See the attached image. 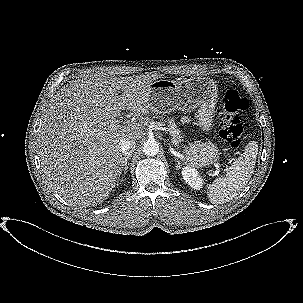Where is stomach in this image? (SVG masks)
<instances>
[{
  "mask_svg": "<svg viewBox=\"0 0 303 303\" xmlns=\"http://www.w3.org/2000/svg\"><path fill=\"white\" fill-rule=\"evenodd\" d=\"M217 99L215 82L208 77L157 79L149 84L148 104L153 112L170 113L180 110L189 113L197 109L195 124L204 131L212 128ZM184 160L198 168L206 167L219 158L218 147L212 142H196L184 147Z\"/></svg>",
  "mask_w": 303,
  "mask_h": 303,
  "instance_id": "0dacf381",
  "label": "stomach"
}]
</instances>
